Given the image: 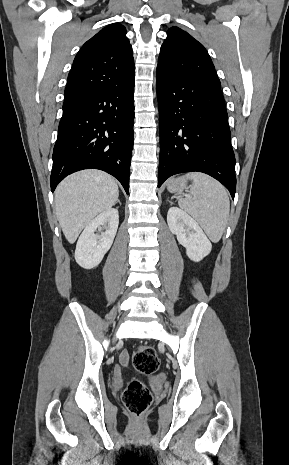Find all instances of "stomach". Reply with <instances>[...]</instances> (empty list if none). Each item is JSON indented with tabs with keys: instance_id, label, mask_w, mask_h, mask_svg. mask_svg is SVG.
<instances>
[{
	"instance_id": "obj_1",
	"label": "stomach",
	"mask_w": 289,
	"mask_h": 465,
	"mask_svg": "<svg viewBox=\"0 0 289 465\" xmlns=\"http://www.w3.org/2000/svg\"><path fill=\"white\" fill-rule=\"evenodd\" d=\"M187 187V180L171 179L167 184V189L173 193H182Z\"/></svg>"
}]
</instances>
